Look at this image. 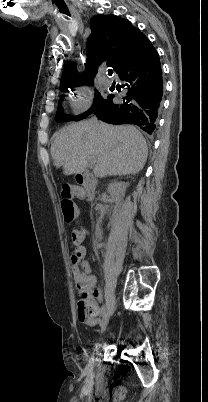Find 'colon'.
Here are the masks:
<instances>
[{"label":"colon","mask_w":208,"mask_h":402,"mask_svg":"<svg viewBox=\"0 0 208 402\" xmlns=\"http://www.w3.org/2000/svg\"><path fill=\"white\" fill-rule=\"evenodd\" d=\"M75 190V186L73 185H63L61 189V195L63 198H69L73 191ZM65 214L63 215V220L65 222H74L77 218V212L73 205H66L64 208ZM87 232L84 229L79 231L70 232V241L74 244L75 248L70 250L72 254L71 262L77 263L78 260L83 259V254L85 253L84 246L81 245L82 238L86 237ZM87 293V291H85ZM77 305L79 307V315L81 318H89L92 317L95 313V307L93 306V298L92 297H78ZM83 309V311H82Z\"/></svg>","instance_id":"colon-1"}]
</instances>
